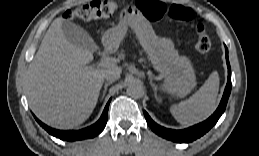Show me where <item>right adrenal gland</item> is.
<instances>
[{"label":"right adrenal gland","instance_id":"2a0ac1e0","mask_svg":"<svg viewBox=\"0 0 259 156\" xmlns=\"http://www.w3.org/2000/svg\"><path fill=\"white\" fill-rule=\"evenodd\" d=\"M110 84H112V82H107V83H105V85H104V90H103V93H102V99L104 98V96H105V94H106V91H107V88H108V86H109Z\"/></svg>","mask_w":259,"mask_h":156}]
</instances>
